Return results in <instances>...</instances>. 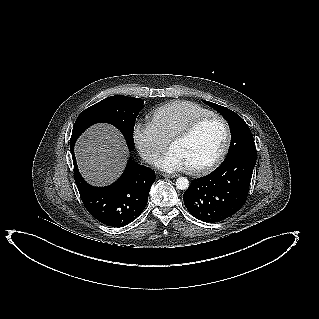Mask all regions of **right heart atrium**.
I'll list each match as a JSON object with an SVG mask.
<instances>
[{"label":"right heart atrium","instance_id":"d8ad5b80","mask_svg":"<svg viewBox=\"0 0 319 319\" xmlns=\"http://www.w3.org/2000/svg\"><path fill=\"white\" fill-rule=\"evenodd\" d=\"M132 139L140 156L149 164H153L168 145V141L150 121L136 122L132 129Z\"/></svg>","mask_w":319,"mask_h":319}]
</instances>
